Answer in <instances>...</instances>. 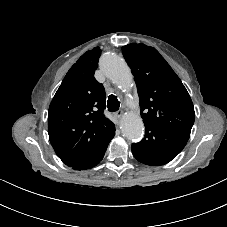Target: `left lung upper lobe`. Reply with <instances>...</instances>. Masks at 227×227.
Listing matches in <instances>:
<instances>
[{
  "instance_id": "obj_1",
  "label": "left lung upper lobe",
  "mask_w": 227,
  "mask_h": 227,
  "mask_svg": "<svg viewBox=\"0 0 227 227\" xmlns=\"http://www.w3.org/2000/svg\"><path fill=\"white\" fill-rule=\"evenodd\" d=\"M122 50L137 85L144 124L188 141L195 112L179 77L151 46L132 43Z\"/></svg>"
}]
</instances>
